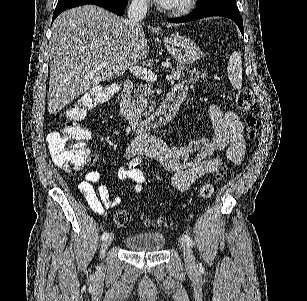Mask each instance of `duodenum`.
I'll return each instance as SVG.
<instances>
[{
    "label": "duodenum",
    "instance_id": "obj_1",
    "mask_svg": "<svg viewBox=\"0 0 307 301\" xmlns=\"http://www.w3.org/2000/svg\"><path fill=\"white\" fill-rule=\"evenodd\" d=\"M132 89L133 82L131 80H126L120 95V112L127 120L132 130L136 133H147L171 121L184 100V95L182 93L171 90L153 114L148 117H142L133 107Z\"/></svg>",
    "mask_w": 307,
    "mask_h": 301
}]
</instances>
